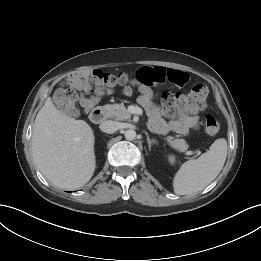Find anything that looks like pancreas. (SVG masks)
Returning a JSON list of instances; mask_svg holds the SVG:
<instances>
[{"mask_svg": "<svg viewBox=\"0 0 261 261\" xmlns=\"http://www.w3.org/2000/svg\"><path fill=\"white\" fill-rule=\"evenodd\" d=\"M107 115L110 118L124 121L131 118V114L123 104H107L104 106ZM149 124L154 132L164 134L161 132L154 121H150ZM166 141L168 144L179 152H185L188 149V144L184 139H174L172 136H167Z\"/></svg>", "mask_w": 261, "mask_h": 261, "instance_id": "cf45deb5", "label": "pancreas"}]
</instances>
